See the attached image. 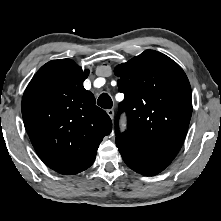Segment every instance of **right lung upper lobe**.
Listing matches in <instances>:
<instances>
[{"label": "right lung upper lobe", "instance_id": "right-lung-upper-lobe-1", "mask_svg": "<svg viewBox=\"0 0 221 221\" xmlns=\"http://www.w3.org/2000/svg\"><path fill=\"white\" fill-rule=\"evenodd\" d=\"M89 70L70 59L53 60L34 75L22 99V115L38 156L61 174L89 168L112 121L84 89Z\"/></svg>", "mask_w": 221, "mask_h": 221}]
</instances>
